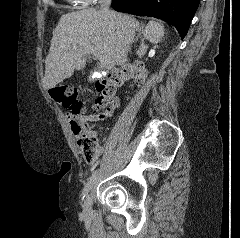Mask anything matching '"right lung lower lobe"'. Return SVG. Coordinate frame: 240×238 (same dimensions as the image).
<instances>
[{"mask_svg": "<svg viewBox=\"0 0 240 238\" xmlns=\"http://www.w3.org/2000/svg\"><path fill=\"white\" fill-rule=\"evenodd\" d=\"M200 0H113L112 8L138 16H153L176 27L182 39Z\"/></svg>", "mask_w": 240, "mask_h": 238, "instance_id": "98d812e1", "label": "right lung lower lobe"}]
</instances>
